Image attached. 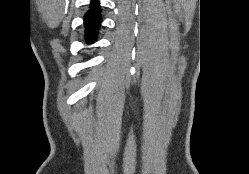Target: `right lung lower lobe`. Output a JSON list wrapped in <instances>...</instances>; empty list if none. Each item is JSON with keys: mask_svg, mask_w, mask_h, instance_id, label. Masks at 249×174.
Returning a JSON list of instances; mask_svg holds the SVG:
<instances>
[{"mask_svg": "<svg viewBox=\"0 0 249 174\" xmlns=\"http://www.w3.org/2000/svg\"><path fill=\"white\" fill-rule=\"evenodd\" d=\"M101 22L100 9L98 7V0H93L91 9L84 16V23L86 28V40L93 42Z\"/></svg>", "mask_w": 249, "mask_h": 174, "instance_id": "98d812e1", "label": "right lung lower lobe"}]
</instances>
